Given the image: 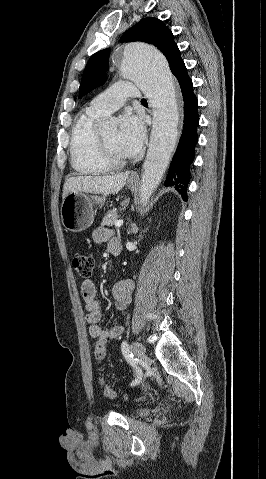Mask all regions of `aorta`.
Instances as JSON below:
<instances>
[{"mask_svg": "<svg viewBox=\"0 0 266 479\" xmlns=\"http://www.w3.org/2000/svg\"><path fill=\"white\" fill-rule=\"evenodd\" d=\"M119 56L122 75L143 91L153 107V125L140 187L139 204L144 207L166 172L178 136L175 81L165 57L150 45L127 44ZM115 125L112 119L98 122L99 127Z\"/></svg>", "mask_w": 266, "mask_h": 479, "instance_id": "1", "label": "aorta"}]
</instances>
